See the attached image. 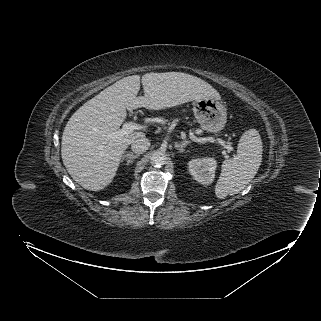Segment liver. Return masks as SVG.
I'll return each instance as SVG.
<instances>
[{
    "label": "liver",
    "mask_w": 321,
    "mask_h": 321,
    "mask_svg": "<svg viewBox=\"0 0 321 321\" xmlns=\"http://www.w3.org/2000/svg\"><path fill=\"white\" fill-rule=\"evenodd\" d=\"M140 83L144 96L137 97ZM203 98L220 99V95L204 80L186 73L124 77L70 117L62 136L63 164L83 188L100 191L112 182L127 147L145 136L142 132L113 136L126 118V109L162 110Z\"/></svg>",
    "instance_id": "6515ba94"
}]
</instances>
